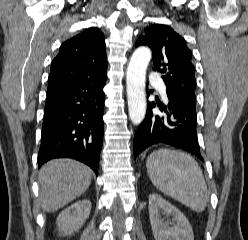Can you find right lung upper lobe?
I'll return each instance as SVG.
<instances>
[{"label": "right lung upper lobe", "instance_id": "obj_1", "mask_svg": "<svg viewBox=\"0 0 248 240\" xmlns=\"http://www.w3.org/2000/svg\"><path fill=\"white\" fill-rule=\"evenodd\" d=\"M104 35L91 27L65 41L52 61L49 91L65 88L85 79L106 75L107 58Z\"/></svg>", "mask_w": 248, "mask_h": 240}]
</instances>
